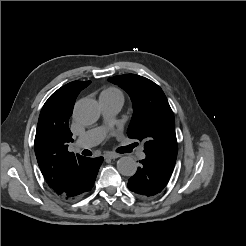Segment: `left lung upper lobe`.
Masks as SVG:
<instances>
[{
	"label": "left lung upper lobe",
	"mask_w": 246,
	"mask_h": 246,
	"mask_svg": "<svg viewBox=\"0 0 246 246\" xmlns=\"http://www.w3.org/2000/svg\"><path fill=\"white\" fill-rule=\"evenodd\" d=\"M108 81L120 86L131 97L134 113L128 137L144 142L146 156L174 168L177 157L174 114L162 89L135 74L114 76Z\"/></svg>",
	"instance_id": "obj_1"
}]
</instances>
